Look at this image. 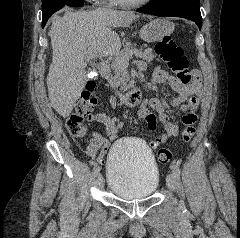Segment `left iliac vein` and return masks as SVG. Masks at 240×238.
Here are the masks:
<instances>
[{
  "label": "left iliac vein",
  "instance_id": "obj_1",
  "mask_svg": "<svg viewBox=\"0 0 240 238\" xmlns=\"http://www.w3.org/2000/svg\"><path fill=\"white\" fill-rule=\"evenodd\" d=\"M166 184L170 190H172V191L175 190L177 181H176V176L173 173H169L167 175Z\"/></svg>",
  "mask_w": 240,
  "mask_h": 238
}]
</instances>
